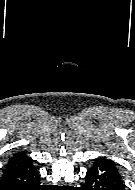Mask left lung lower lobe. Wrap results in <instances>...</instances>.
Returning <instances> with one entry per match:
<instances>
[{
	"label": "left lung lower lobe",
	"instance_id": "1",
	"mask_svg": "<svg viewBox=\"0 0 135 190\" xmlns=\"http://www.w3.org/2000/svg\"><path fill=\"white\" fill-rule=\"evenodd\" d=\"M125 185L115 163L99 158L86 173L84 190H124Z\"/></svg>",
	"mask_w": 135,
	"mask_h": 190
}]
</instances>
